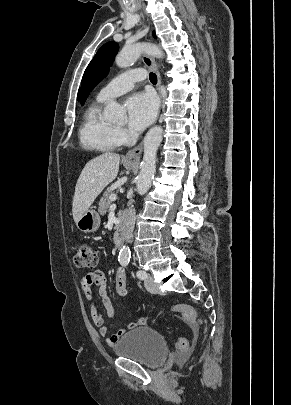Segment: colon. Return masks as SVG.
<instances>
[{
	"mask_svg": "<svg viewBox=\"0 0 291 405\" xmlns=\"http://www.w3.org/2000/svg\"><path fill=\"white\" fill-rule=\"evenodd\" d=\"M97 261L96 253L89 244L79 243L76 245L73 263L77 268H95ZM115 289L121 296H124L127 292L126 275L122 270H118L116 273ZM173 310L180 313L187 323L194 326H203L202 319L198 317L193 307L185 304H178L173 307ZM175 346L178 350L184 351L188 348V341L186 338L180 337L176 340Z\"/></svg>",
	"mask_w": 291,
	"mask_h": 405,
	"instance_id": "5ec220e1",
	"label": "colon"
}]
</instances>
